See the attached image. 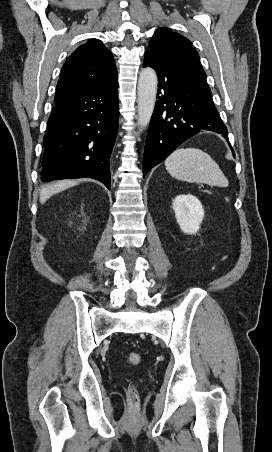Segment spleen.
<instances>
[{"mask_svg": "<svg viewBox=\"0 0 272 452\" xmlns=\"http://www.w3.org/2000/svg\"><path fill=\"white\" fill-rule=\"evenodd\" d=\"M165 166L169 174L178 180L219 187L229 184L218 164L200 149H177L165 160Z\"/></svg>", "mask_w": 272, "mask_h": 452, "instance_id": "1", "label": "spleen"}]
</instances>
